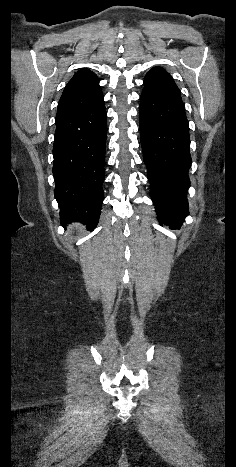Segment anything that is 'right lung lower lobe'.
<instances>
[{
	"label": "right lung lower lobe",
	"instance_id": "obj_1",
	"mask_svg": "<svg viewBox=\"0 0 236 467\" xmlns=\"http://www.w3.org/2000/svg\"><path fill=\"white\" fill-rule=\"evenodd\" d=\"M106 134L103 97L87 109L56 121L52 172L63 226L77 221L92 231L98 223L104 199Z\"/></svg>",
	"mask_w": 236,
	"mask_h": 467
}]
</instances>
